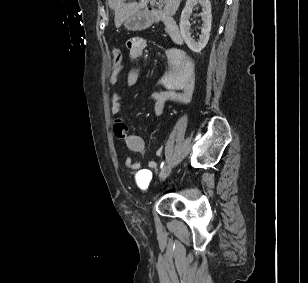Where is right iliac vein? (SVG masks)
I'll use <instances>...</instances> for the list:
<instances>
[{
  "label": "right iliac vein",
  "instance_id": "1",
  "mask_svg": "<svg viewBox=\"0 0 308 283\" xmlns=\"http://www.w3.org/2000/svg\"><path fill=\"white\" fill-rule=\"evenodd\" d=\"M169 169H170L169 164L166 165V166L162 169V171H161V173H160V180H161V181L164 180V179L168 176V174H169Z\"/></svg>",
  "mask_w": 308,
  "mask_h": 283
}]
</instances>
